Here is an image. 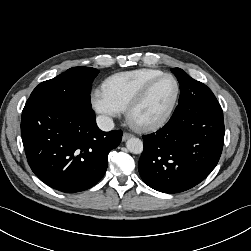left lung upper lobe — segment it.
<instances>
[{
	"instance_id": "obj_1",
	"label": "left lung upper lobe",
	"mask_w": 251,
	"mask_h": 251,
	"mask_svg": "<svg viewBox=\"0 0 251 251\" xmlns=\"http://www.w3.org/2000/svg\"><path fill=\"white\" fill-rule=\"evenodd\" d=\"M171 71L175 74V76L177 77L179 81L180 92H183L185 90H190L191 87L201 84V82L192 79L188 74H186L180 68H172Z\"/></svg>"
}]
</instances>
